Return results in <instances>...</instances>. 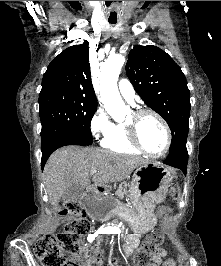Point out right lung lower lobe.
<instances>
[{"label": "right lung lower lobe", "instance_id": "1", "mask_svg": "<svg viewBox=\"0 0 221 266\" xmlns=\"http://www.w3.org/2000/svg\"><path fill=\"white\" fill-rule=\"evenodd\" d=\"M66 145H85V143L79 140H62L59 144L42 149V162L41 166L44 167L48 157L58 148Z\"/></svg>", "mask_w": 221, "mask_h": 266}]
</instances>
